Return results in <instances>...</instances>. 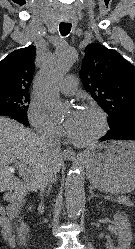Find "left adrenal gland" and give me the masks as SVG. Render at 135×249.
<instances>
[{
  "label": "left adrenal gland",
  "instance_id": "1",
  "mask_svg": "<svg viewBox=\"0 0 135 249\" xmlns=\"http://www.w3.org/2000/svg\"><path fill=\"white\" fill-rule=\"evenodd\" d=\"M96 197V195L93 194V191L90 190V196L88 197V201L91 200V198Z\"/></svg>",
  "mask_w": 135,
  "mask_h": 249
}]
</instances>
